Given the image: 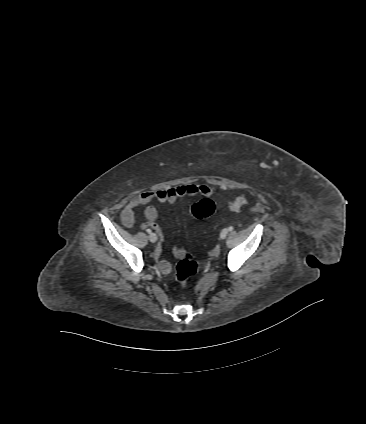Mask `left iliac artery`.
<instances>
[{"mask_svg":"<svg viewBox=\"0 0 366 424\" xmlns=\"http://www.w3.org/2000/svg\"><path fill=\"white\" fill-rule=\"evenodd\" d=\"M228 230H229V231H232V230H233V227H232V226H230V227L228 228Z\"/></svg>","mask_w":366,"mask_h":424,"instance_id":"obj_1","label":"left iliac artery"}]
</instances>
